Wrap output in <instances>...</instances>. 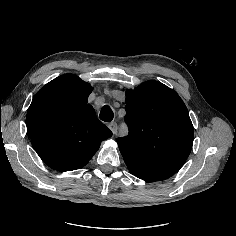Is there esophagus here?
Here are the masks:
<instances>
[{
    "label": "esophagus",
    "instance_id": "obj_1",
    "mask_svg": "<svg viewBox=\"0 0 236 236\" xmlns=\"http://www.w3.org/2000/svg\"><path fill=\"white\" fill-rule=\"evenodd\" d=\"M108 127L113 132V134L117 133V123L116 122L109 123Z\"/></svg>",
    "mask_w": 236,
    "mask_h": 236
}]
</instances>
